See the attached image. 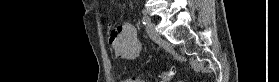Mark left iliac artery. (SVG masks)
Segmentation results:
<instances>
[{
  "label": "left iliac artery",
  "mask_w": 279,
  "mask_h": 82,
  "mask_svg": "<svg viewBox=\"0 0 279 82\" xmlns=\"http://www.w3.org/2000/svg\"><path fill=\"white\" fill-rule=\"evenodd\" d=\"M142 23H143L144 25L150 23V18H149L148 16H143V17H142Z\"/></svg>",
  "instance_id": "left-iliac-artery-1"
}]
</instances>
